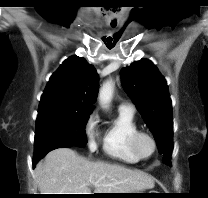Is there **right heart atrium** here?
Returning a JSON list of instances; mask_svg holds the SVG:
<instances>
[{"label":"right heart atrium","mask_w":208,"mask_h":198,"mask_svg":"<svg viewBox=\"0 0 208 198\" xmlns=\"http://www.w3.org/2000/svg\"><path fill=\"white\" fill-rule=\"evenodd\" d=\"M84 131L88 141V147L91 151H95L98 146L100 131H99V116L96 112L89 115L85 122Z\"/></svg>","instance_id":"right-heart-atrium-1"}]
</instances>
